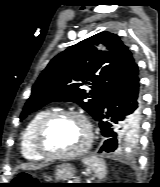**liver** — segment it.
Wrapping results in <instances>:
<instances>
[{
	"label": "liver",
	"instance_id": "liver-1",
	"mask_svg": "<svg viewBox=\"0 0 160 187\" xmlns=\"http://www.w3.org/2000/svg\"><path fill=\"white\" fill-rule=\"evenodd\" d=\"M34 166L33 165H24L22 166V168H29V169H32Z\"/></svg>",
	"mask_w": 160,
	"mask_h": 187
}]
</instances>
